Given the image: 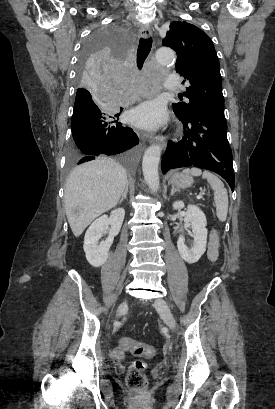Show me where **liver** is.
I'll use <instances>...</instances> for the list:
<instances>
[{"mask_svg": "<svg viewBox=\"0 0 275 409\" xmlns=\"http://www.w3.org/2000/svg\"><path fill=\"white\" fill-rule=\"evenodd\" d=\"M126 168L113 158H96L75 166L65 184V211L70 229L80 237L86 227L116 207L127 184ZM73 209H82L74 215Z\"/></svg>", "mask_w": 275, "mask_h": 409, "instance_id": "obj_1", "label": "liver"}]
</instances>
